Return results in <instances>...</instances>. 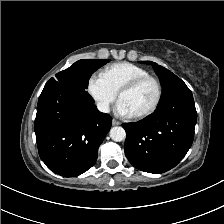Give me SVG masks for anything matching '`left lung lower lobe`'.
I'll list each match as a JSON object with an SVG mask.
<instances>
[{"label":"left lung lower lobe","instance_id":"0a47b994","mask_svg":"<svg viewBox=\"0 0 224 224\" xmlns=\"http://www.w3.org/2000/svg\"><path fill=\"white\" fill-rule=\"evenodd\" d=\"M197 112L192 92L161 103L155 113L136 123H124L125 155L137 169L163 173L175 167L190 149Z\"/></svg>","mask_w":224,"mask_h":224}]
</instances>
